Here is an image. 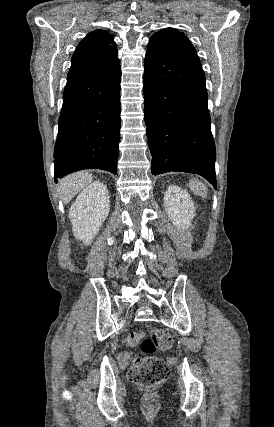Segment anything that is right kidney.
I'll list each match as a JSON object with an SVG mask.
<instances>
[{
  "mask_svg": "<svg viewBox=\"0 0 274 427\" xmlns=\"http://www.w3.org/2000/svg\"><path fill=\"white\" fill-rule=\"evenodd\" d=\"M110 212L109 192L105 184L93 182L86 186L69 210L74 237L90 245L102 221Z\"/></svg>",
  "mask_w": 274,
  "mask_h": 427,
  "instance_id": "1",
  "label": "right kidney"
}]
</instances>
